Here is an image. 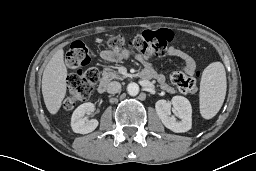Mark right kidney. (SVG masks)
I'll return each mask as SVG.
<instances>
[{"mask_svg":"<svg viewBox=\"0 0 256 171\" xmlns=\"http://www.w3.org/2000/svg\"><path fill=\"white\" fill-rule=\"evenodd\" d=\"M95 109V106L91 102L83 103L78 106L71 117V127L73 132L80 134H88L94 131L98 126V121L92 119L87 121L84 118L85 114H91Z\"/></svg>","mask_w":256,"mask_h":171,"instance_id":"right-kidney-1","label":"right kidney"}]
</instances>
